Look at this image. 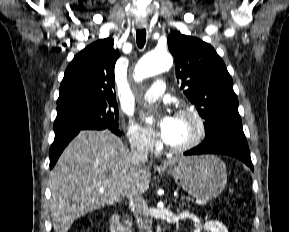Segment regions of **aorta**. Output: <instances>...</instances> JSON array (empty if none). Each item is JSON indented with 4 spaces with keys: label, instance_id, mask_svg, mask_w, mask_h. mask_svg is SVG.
<instances>
[{
    "label": "aorta",
    "instance_id": "1",
    "mask_svg": "<svg viewBox=\"0 0 289 232\" xmlns=\"http://www.w3.org/2000/svg\"><path fill=\"white\" fill-rule=\"evenodd\" d=\"M172 57L166 51H151L144 55L135 68V80L154 76L171 68Z\"/></svg>",
    "mask_w": 289,
    "mask_h": 232
}]
</instances>
